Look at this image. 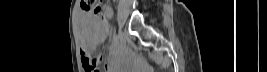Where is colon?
I'll return each mask as SVG.
<instances>
[{"mask_svg":"<svg viewBox=\"0 0 267 72\" xmlns=\"http://www.w3.org/2000/svg\"><path fill=\"white\" fill-rule=\"evenodd\" d=\"M102 3L103 1L101 0H81L82 9L93 14L96 18V23L100 31H104L108 27L104 17ZM99 64V58L89 57L86 70L88 72H100Z\"/></svg>","mask_w":267,"mask_h":72,"instance_id":"obj_1","label":"colon"}]
</instances>
